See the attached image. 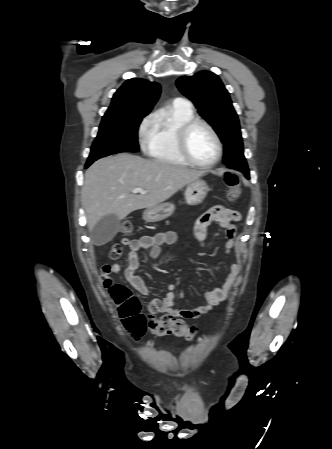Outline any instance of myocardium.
Instances as JSON below:
<instances>
[{
	"mask_svg": "<svg viewBox=\"0 0 332 449\" xmlns=\"http://www.w3.org/2000/svg\"><path fill=\"white\" fill-rule=\"evenodd\" d=\"M198 125L204 126L210 132V134L212 135V137L216 143V148H217L216 156L209 163H200V162L196 161L190 154V151L188 148L189 133L194 127H196ZM177 148H178L180 155L183 157V159L187 163H189L195 167L202 168V169H209V168L214 167L220 161V159L222 157V153H223L222 142H221V139H220L217 131L207 121L202 120V119H197V118H193L190 121L182 124L179 127L178 132H177Z\"/></svg>",
	"mask_w": 332,
	"mask_h": 449,
	"instance_id": "f54148a6",
	"label": "myocardium"
}]
</instances>
